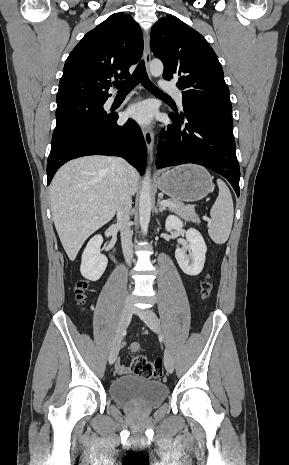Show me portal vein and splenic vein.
<instances>
[{
	"instance_id": "portal-vein-and-splenic-vein-1",
	"label": "portal vein and splenic vein",
	"mask_w": 289,
	"mask_h": 465,
	"mask_svg": "<svg viewBox=\"0 0 289 465\" xmlns=\"http://www.w3.org/2000/svg\"><path fill=\"white\" fill-rule=\"evenodd\" d=\"M161 204H162L163 206H169V205H170L169 201H167V200H162V201H161ZM204 219H207V218H204Z\"/></svg>"
}]
</instances>
